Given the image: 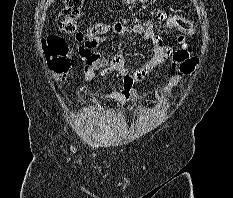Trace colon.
Masks as SVG:
<instances>
[{
    "label": "colon",
    "instance_id": "5ec220e1",
    "mask_svg": "<svg viewBox=\"0 0 233 198\" xmlns=\"http://www.w3.org/2000/svg\"><path fill=\"white\" fill-rule=\"evenodd\" d=\"M83 9L84 0H66L62 13L63 20L59 28L74 41L83 44L82 47L92 48L106 31V27L103 24H96L87 30H80L78 22L82 17ZM163 26L175 28L184 33H192L194 30L192 22L182 16L169 17L163 23ZM146 27L152 28L151 24H148ZM42 46L50 69L59 79H64L71 65L65 40L58 36H48L43 39ZM177 58H180L177 67L183 74H190L198 63L196 57H190L188 54H178Z\"/></svg>",
    "mask_w": 233,
    "mask_h": 198
}]
</instances>
